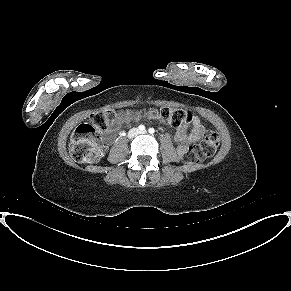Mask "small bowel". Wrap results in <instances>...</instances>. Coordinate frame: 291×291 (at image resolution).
I'll return each instance as SVG.
<instances>
[{"label":"small bowel","mask_w":291,"mask_h":291,"mask_svg":"<svg viewBox=\"0 0 291 291\" xmlns=\"http://www.w3.org/2000/svg\"><path fill=\"white\" fill-rule=\"evenodd\" d=\"M138 119V116L131 111L119 113L116 128H120L125 124L130 123L132 120ZM205 131L199 117L193 116L191 119V128L188 129L187 125H182L175 136L178 143V150L183 152L189 143L197 142L201 139ZM104 138L107 142L113 141L115 138V130L107 129L104 133Z\"/></svg>","instance_id":"obj_1"}]
</instances>
